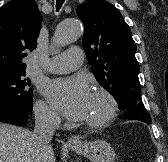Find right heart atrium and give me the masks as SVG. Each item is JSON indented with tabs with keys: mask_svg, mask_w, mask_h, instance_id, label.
<instances>
[{
	"mask_svg": "<svg viewBox=\"0 0 168 162\" xmlns=\"http://www.w3.org/2000/svg\"><path fill=\"white\" fill-rule=\"evenodd\" d=\"M34 113L37 121L44 126L54 127L59 123V116L54 109L41 100L34 105Z\"/></svg>",
	"mask_w": 168,
	"mask_h": 162,
	"instance_id": "1",
	"label": "right heart atrium"
}]
</instances>
